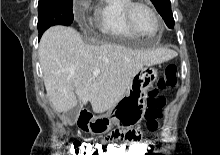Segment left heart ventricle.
I'll return each mask as SVG.
<instances>
[{
	"label": "left heart ventricle",
	"instance_id": "b2bd125f",
	"mask_svg": "<svg viewBox=\"0 0 220 155\" xmlns=\"http://www.w3.org/2000/svg\"><path fill=\"white\" fill-rule=\"evenodd\" d=\"M133 21L139 32L147 36L155 34L157 23L151 12L145 7H137L133 12Z\"/></svg>",
	"mask_w": 220,
	"mask_h": 155
}]
</instances>
